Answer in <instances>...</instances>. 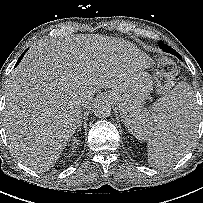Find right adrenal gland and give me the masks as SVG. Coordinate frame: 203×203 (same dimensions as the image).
Instances as JSON below:
<instances>
[{
    "label": "right adrenal gland",
    "instance_id": "right-adrenal-gland-1",
    "mask_svg": "<svg viewBox=\"0 0 203 203\" xmlns=\"http://www.w3.org/2000/svg\"><path fill=\"white\" fill-rule=\"evenodd\" d=\"M82 126V123H80L79 125H78V128H79V130L78 131H80V127Z\"/></svg>",
    "mask_w": 203,
    "mask_h": 203
}]
</instances>
